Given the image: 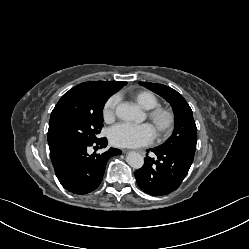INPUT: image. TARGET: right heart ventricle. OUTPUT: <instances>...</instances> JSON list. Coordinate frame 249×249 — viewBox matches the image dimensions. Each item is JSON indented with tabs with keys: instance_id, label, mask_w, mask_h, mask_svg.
Returning a JSON list of instances; mask_svg holds the SVG:
<instances>
[{
	"instance_id": "obj_1",
	"label": "right heart ventricle",
	"mask_w": 249,
	"mask_h": 249,
	"mask_svg": "<svg viewBox=\"0 0 249 249\" xmlns=\"http://www.w3.org/2000/svg\"><path fill=\"white\" fill-rule=\"evenodd\" d=\"M135 102L146 110H150L159 105L158 98L150 91H137L132 94Z\"/></svg>"
}]
</instances>
